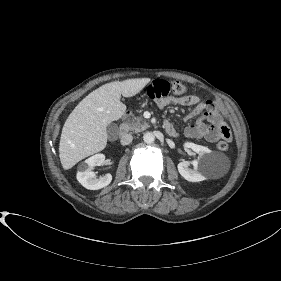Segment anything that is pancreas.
<instances>
[{
	"mask_svg": "<svg viewBox=\"0 0 281 281\" xmlns=\"http://www.w3.org/2000/svg\"><path fill=\"white\" fill-rule=\"evenodd\" d=\"M127 129L133 131L135 133L144 131L145 129L149 128V123L146 122L144 118L141 116L134 117L126 123Z\"/></svg>",
	"mask_w": 281,
	"mask_h": 281,
	"instance_id": "pancreas-1",
	"label": "pancreas"
}]
</instances>
